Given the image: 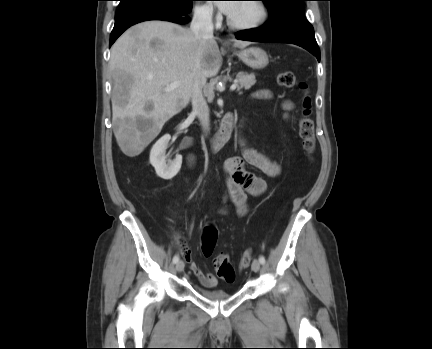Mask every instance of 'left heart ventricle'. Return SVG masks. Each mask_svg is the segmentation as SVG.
Wrapping results in <instances>:
<instances>
[{"label":"left heart ventricle","mask_w":432,"mask_h":349,"mask_svg":"<svg viewBox=\"0 0 432 349\" xmlns=\"http://www.w3.org/2000/svg\"><path fill=\"white\" fill-rule=\"evenodd\" d=\"M260 12L258 7L251 2L239 3L229 16L238 23L252 22L258 18Z\"/></svg>","instance_id":"obj_1"}]
</instances>
